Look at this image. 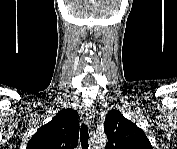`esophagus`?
Returning a JSON list of instances; mask_svg holds the SVG:
<instances>
[{
    "instance_id": "34e87169",
    "label": "esophagus",
    "mask_w": 177,
    "mask_h": 149,
    "mask_svg": "<svg viewBox=\"0 0 177 149\" xmlns=\"http://www.w3.org/2000/svg\"><path fill=\"white\" fill-rule=\"evenodd\" d=\"M93 119H94V114H93V110L91 107H87L85 109V122L87 124H90L93 122Z\"/></svg>"
}]
</instances>
